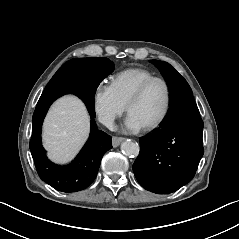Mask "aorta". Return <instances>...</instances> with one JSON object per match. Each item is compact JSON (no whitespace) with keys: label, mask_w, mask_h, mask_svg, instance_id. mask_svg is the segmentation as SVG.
<instances>
[{"label":"aorta","mask_w":239,"mask_h":239,"mask_svg":"<svg viewBox=\"0 0 239 239\" xmlns=\"http://www.w3.org/2000/svg\"><path fill=\"white\" fill-rule=\"evenodd\" d=\"M121 150L124 154L128 156H138L139 145L137 142L126 140L121 144Z\"/></svg>","instance_id":"1"}]
</instances>
